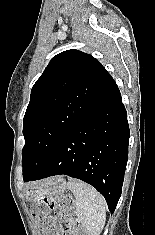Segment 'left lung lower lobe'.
<instances>
[{
  "label": "left lung lower lobe",
  "instance_id": "obj_1",
  "mask_svg": "<svg viewBox=\"0 0 155 235\" xmlns=\"http://www.w3.org/2000/svg\"><path fill=\"white\" fill-rule=\"evenodd\" d=\"M129 126L114 80L66 134L42 168L24 181L65 174L95 187L114 212L128 160Z\"/></svg>",
  "mask_w": 155,
  "mask_h": 235
}]
</instances>
